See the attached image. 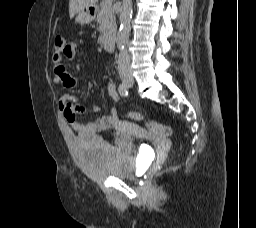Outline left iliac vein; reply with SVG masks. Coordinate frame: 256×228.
Returning <instances> with one entry per match:
<instances>
[{"label":"left iliac vein","instance_id":"4c4485c4","mask_svg":"<svg viewBox=\"0 0 256 228\" xmlns=\"http://www.w3.org/2000/svg\"><path fill=\"white\" fill-rule=\"evenodd\" d=\"M132 83H133V82H131V83L129 84V86H131V85H132Z\"/></svg>","mask_w":256,"mask_h":228}]
</instances>
